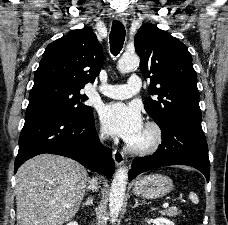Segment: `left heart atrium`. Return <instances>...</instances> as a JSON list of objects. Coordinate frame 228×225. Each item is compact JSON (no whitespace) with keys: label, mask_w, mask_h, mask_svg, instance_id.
Listing matches in <instances>:
<instances>
[{"label":"left heart atrium","mask_w":228,"mask_h":225,"mask_svg":"<svg viewBox=\"0 0 228 225\" xmlns=\"http://www.w3.org/2000/svg\"><path fill=\"white\" fill-rule=\"evenodd\" d=\"M100 118L108 134L121 137L130 143L135 142L144 130L139 110L121 102L105 105L100 112Z\"/></svg>","instance_id":"left-heart-atrium-1"}]
</instances>
